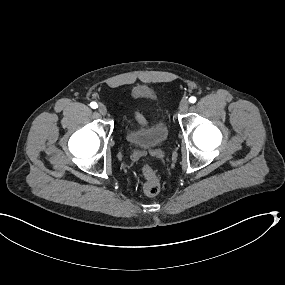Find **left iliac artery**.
<instances>
[{
    "label": "left iliac artery",
    "instance_id": "44dca946",
    "mask_svg": "<svg viewBox=\"0 0 285 285\" xmlns=\"http://www.w3.org/2000/svg\"><path fill=\"white\" fill-rule=\"evenodd\" d=\"M189 102H190V103H195V102H196V97L191 96V97L189 98Z\"/></svg>",
    "mask_w": 285,
    "mask_h": 285
}]
</instances>
